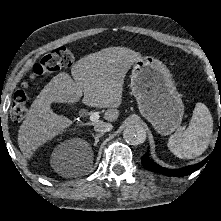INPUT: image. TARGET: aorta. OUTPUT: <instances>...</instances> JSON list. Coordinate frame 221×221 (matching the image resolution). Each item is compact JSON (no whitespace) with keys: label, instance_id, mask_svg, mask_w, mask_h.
<instances>
[{"label":"aorta","instance_id":"762f6f07","mask_svg":"<svg viewBox=\"0 0 221 221\" xmlns=\"http://www.w3.org/2000/svg\"><path fill=\"white\" fill-rule=\"evenodd\" d=\"M123 138L131 145H139L146 140V131L140 125H129L123 131Z\"/></svg>","mask_w":221,"mask_h":221}]
</instances>
